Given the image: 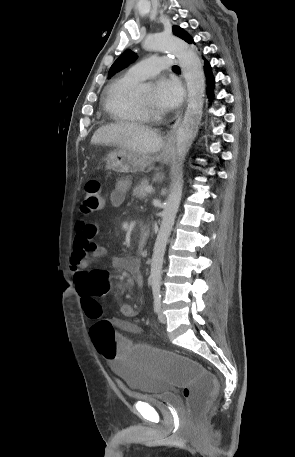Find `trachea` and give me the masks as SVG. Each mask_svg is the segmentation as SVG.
<instances>
[{"label":"trachea","mask_w":295,"mask_h":457,"mask_svg":"<svg viewBox=\"0 0 295 457\" xmlns=\"http://www.w3.org/2000/svg\"><path fill=\"white\" fill-rule=\"evenodd\" d=\"M173 70H179V67L177 65L173 66Z\"/></svg>","instance_id":"trachea-1"}]
</instances>
